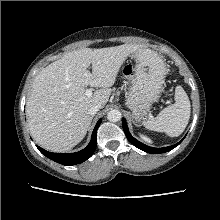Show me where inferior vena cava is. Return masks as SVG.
<instances>
[{
    "instance_id": "602c4592",
    "label": "inferior vena cava",
    "mask_w": 220,
    "mask_h": 220,
    "mask_svg": "<svg viewBox=\"0 0 220 220\" xmlns=\"http://www.w3.org/2000/svg\"><path fill=\"white\" fill-rule=\"evenodd\" d=\"M100 109H101V105H100V104H94V105H92V106L88 109V113H89L90 115H94V114H96Z\"/></svg>"
}]
</instances>
